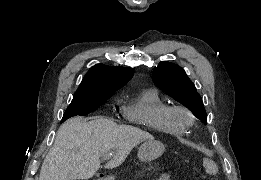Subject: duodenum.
<instances>
[{
  "label": "duodenum",
  "mask_w": 261,
  "mask_h": 180,
  "mask_svg": "<svg viewBox=\"0 0 261 180\" xmlns=\"http://www.w3.org/2000/svg\"><path fill=\"white\" fill-rule=\"evenodd\" d=\"M98 180H105V177L104 176H99Z\"/></svg>",
  "instance_id": "1"
}]
</instances>
